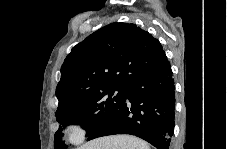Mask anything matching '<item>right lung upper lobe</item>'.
I'll return each instance as SVG.
<instances>
[{
	"instance_id": "1",
	"label": "right lung upper lobe",
	"mask_w": 227,
	"mask_h": 149,
	"mask_svg": "<svg viewBox=\"0 0 227 149\" xmlns=\"http://www.w3.org/2000/svg\"><path fill=\"white\" fill-rule=\"evenodd\" d=\"M166 61L160 42L135 24L104 26L74 46L64 60L57 109L101 87H127Z\"/></svg>"
}]
</instances>
